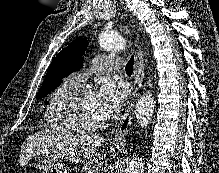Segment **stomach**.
Listing matches in <instances>:
<instances>
[{
    "instance_id": "1",
    "label": "stomach",
    "mask_w": 219,
    "mask_h": 173,
    "mask_svg": "<svg viewBox=\"0 0 219 173\" xmlns=\"http://www.w3.org/2000/svg\"><path fill=\"white\" fill-rule=\"evenodd\" d=\"M41 173H68L60 157L49 155L42 160Z\"/></svg>"
}]
</instances>
